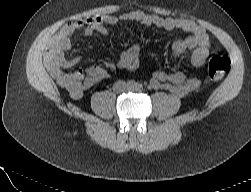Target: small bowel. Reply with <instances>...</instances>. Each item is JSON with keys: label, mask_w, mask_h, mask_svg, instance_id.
<instances>
[{"label": "small bowel", "mask_w": 251, "mask_h": 192, "mask_svg": "<svg viewBox=\"0 0 251 192\" xmlns=\"http://www.w3.org/2000/svg\"><path fill=\"white\" fill-rule=\"evenodd\" d=\"M119 19L135 20L145 24H152L165 29H181L191 35L184 40L176 41L173 44V54L180 56L186 50H193L191 63L194 67L204 64L209 53L210 39L206 31L191 20L183 18L161 17L153 14H146L142 11H132L114 16L110 14H99L84 21L68 23L61 30L49 39L47 43L48 57L54 69L59 73L61 80L66 84L72 97L80 98L86 89L100 83L109 77V73L101 67H92L85 72L77 71L65 74L61 68L76 65L80 57L66 59L63 51L70 48V36L78 28L85 26L87 34L106 33L105 24L116 23ZM139 64V46L133 44L124 50L118 60V66L129 70L136 69ZM196 79L188 78L184 73H165L156 71L151 80L155 88H165L176 96H185L198 86Z\"/></svg>", "instance_id": "obj_1"}]
</instances>
